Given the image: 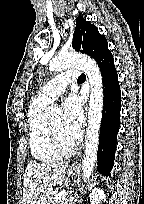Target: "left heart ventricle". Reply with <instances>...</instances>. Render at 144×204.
<instances>
[{
  "instance_id": "b2bd125f",
  "label": "left heart ventricle",
  "mask_w": 144,
  "mask_h": 204,
  "mask_svg": "<svg viewBox=\"0 0 144 204\" xmlns=\"http://www.w3.org/2000/svg\"><path fill=\"white\" fill-rule=\"evenodd\" d=\"M51 125L53 126V128L58 133V135L60 136V138L62 139V141L64 143L70 144L73 142V140L68 138L64 132L63 118L62 117H58V118L54 119L53 121H51Z\"/></svg>"
}]
</instances>
